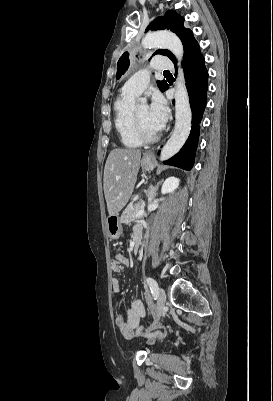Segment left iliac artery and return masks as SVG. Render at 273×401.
I'll use <instances>...</instances> for the list:
<instances>
[{
	"mask_svg": "<svg viewBox=\"0 0 273 401\" xmlns=\"http://www.w3.org/2000/svg\"><path fill=\"white\" fill-rule=\"evenodd\" d=\"M146 281L150 286L152 294H158V284L156 283V281L151 277H148Z\"/></svg>",
	"mask_w": 273,
	"mask_h": 401,
	"instance_id": "left-iliac-artery-1",
	"label": "left iliac artery"
}]
</instances>
